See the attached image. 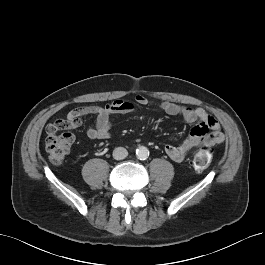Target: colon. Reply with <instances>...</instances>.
Instances as JSON below:
<instances>
[{
    "label": "colon",
    "instance_id": "1",
    "mask_svg": "<svg viewBox=\"0 0 265 265\" xmlns=\"http://www.w3.org/2000/svg\"><path fill=\"white\" fill-rule=\"evenodd\" d=\"M72 128L73 122L67 117L56 120L48 125L45 148L53 163L63 162L68 155L74 141V136L67 130ZM211 162L212 150L209 147H203L195 154L192 163L196 170L203 171L210 166Z\"/></svg>",
    "mask_w": 265,
    "mask_h": 265
}]
</instances>
